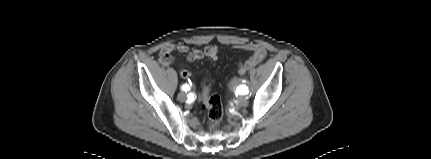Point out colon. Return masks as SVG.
Segmentation results:
<instances>
[{
  "instance_id": "1",
  "label": "colon",
  "mask_w": 431,
  "mask_h": 159,
  "mask_svg": "<svg viewBox=\"0 0 431 159\" xmlns=\"http://www.w3.org/2000/svg\"><path fill=\"white\" fill-rule=\"evenodd\" d=\"M238 65L242 66L241 60H238ZM247 74V71L244 67H239L237 71L238 77H244ZM191 77V72L186 65H183L180 68V78L183 80H188ZM201 91H194V96L196 100H203L205 109L207 111V124L210 129H216L219 127L222 116H223V106L221 98L216 94H210L211 84L208 80H205L201 84ZM202 95V96H201Z\"/></svg>"
}]
</instances>
